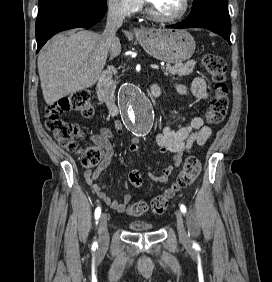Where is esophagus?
Masks as SVG:
<instances>
[{
	"instance_id": "34e87169",
	"label": "esophagus",
	"mask_w": 272,
	"mask_h": 282,
	"mask_svg": "<svg viewBox=\"0 0 272 282\" xmlns=\"http://www.w3.org/2000/svg\"><path fill=\"white\" fill-rule=\"evenodd\" d=\"M132 31L134 33H139L140 32L139 28H137V27H132Z\"/></svg>"
}]
</instances>
